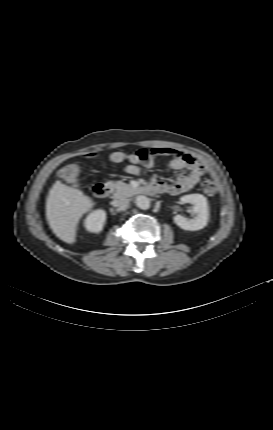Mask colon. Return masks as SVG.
I'll list each match as a JSON object with an SVG mask.
<instances>
[{
  "label": "colon",
  "mask_w": 273,
  "mask_h": 430,
  "mask_svg": "<svg viewBox=\"0 0 273 430\" xmlns=\"http://www.w3.org/2000/svg\"><path fill=\"white\" fill-rule=\"evenodd\" d=\"M80 168L76 163H70L64 166L60 171V177L69 184H75L79 175ZM203 191L212 196L216 193V184L211 180H204L202 183Z\"/></svg>",
  "instance_id": "5ec220e1"
}]
</instances>
